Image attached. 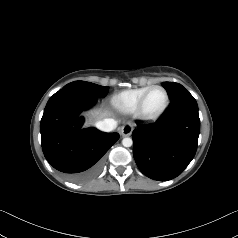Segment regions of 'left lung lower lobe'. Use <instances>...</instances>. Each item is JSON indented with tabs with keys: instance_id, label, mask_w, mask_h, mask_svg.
I'll return each mask as SVG.
<instances>
[{
	"instance_id": "left-lung-lower-lobe-1",
	"label": "left lung lower lobe",
	"mask_w": 238,
	"mask_h": 238,
	"mask_svg": "<svg viewBox=\"0 0 238 238\" xmlns=\"http://www.w3.org/2000/svg\"><path fill=\"white\" fill-rule=\"evenodd\" d=\"M200 132L198 105L187 91L175 97L157 122L132 132L133 156L147 177L167 181L177 177L193 159Z\"/></svg>"
}]
</instances>
